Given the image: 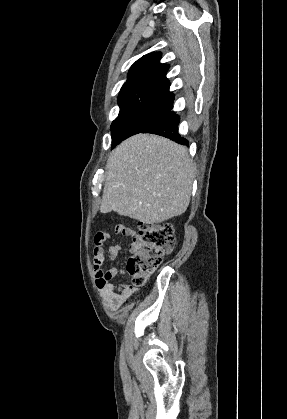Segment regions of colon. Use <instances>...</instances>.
Here are the masks:
<instances>
[{"mask_svg": "<svg viewBox=\"0 0 287 419\" xmlns=\"http://www.w3.org/2000/svg\"><path fill=\"white\" fill-rule=\"evenodd\" d=\"M107 234L106 231L99 233L96 242L105 243L108 240ZM174 245V232L169 224L140 223L127 263V270L135 286L140 287L146 283L148 276L161 265L164 256L173 250Z\"/></svg>", "mask_w": 287, "mask_h": 419, "instance_id": "1", "label": "colon"}]
</instances>
